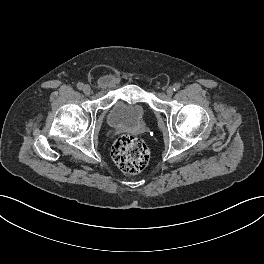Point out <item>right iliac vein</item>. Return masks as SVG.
<instances>
[{"label": "right iliac vein", "mask_w": 264, "mask_h": 264, "mask_svg": "<svg viewBox=\"0 0 264 264\" xmlns=\"http://www.w3.org/2000/svg\"><path fill=\"white\" fill-rule=\"evenodd\" d=\"M83 92H84V94L89 95L91 93L90 86L89 85H85L84 88H83Z\"/></svg>", "instance_id": "1"}]
</instances>
